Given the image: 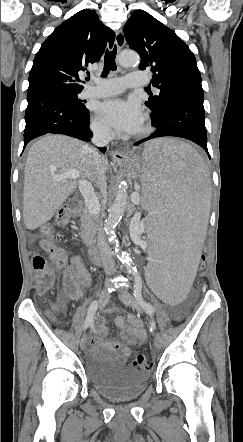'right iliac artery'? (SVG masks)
Masks as SVG:
<instances>
[{
  "label": "right iliac artery",
  "mask_w": 243,
  "mask_h": 442,
  "mask_svg": "<svg viewBox=\"0 0 243 442\" xmlns=\"http://www.w3.org/2000/svg\"><path fill=\"white\" fill-rule=\"evenodd\" d=\"M97 308H98V302L93 301L88 308L87 317H86V320H85L84 326H83L84 330H86L90 325L93 324L94 316L97 311Z\"/></svg>",
  "instance_id": "right-iliac-artery-1"
}]
</instances>
